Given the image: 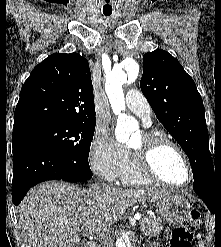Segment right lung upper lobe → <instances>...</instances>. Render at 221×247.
<instances>
[{
  "instance_id": "obj_1",
  "label": "right lung upper lobe",
  "mask_w": 221,
  "mask_h": 247,
  "mask_svg": "<svg viewBox=\"0 0 221 247\" xmlns=\"http://www.w3.org/2000/svg\"><path fill=\"white\" fill-rule=\"evenodd\" d=\"M48 122H96L88 61L56 53L25 81L14 113V129Z\"/></svg>"
}]
</instances>
